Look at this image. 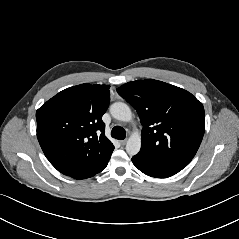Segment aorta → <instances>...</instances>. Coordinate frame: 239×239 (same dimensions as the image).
Wrapping results in <instances>:
<instances>
[{
  "label": "aorta",
  "instance_id": "1",
  "mask_svg": "<svg viewBox=\"0 0 239 239\" xmlns=\"http://www.w3.org/2000/svg\"><path fill=\"white\" fill-rule=\"evenodd\" d=\"M111 115L123 122L132 121V112L130 107L123 102H115L110 107ZM141 148V136L138 132L133 133L126 143V151L130 156L138 154Z\"/></svg>",
  "mask_w": 239,
  "mask_h": 239
}]
</instances>
